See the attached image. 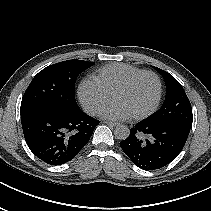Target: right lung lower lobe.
Segmentation results:
<instances>
[{"instance_id":"obj_1","label":"right lung lower lobe","mask_w":211,"mask_h":211,"mask_svg":"<svg viewBox=\"0 0 211 211\" xmlns=\"http://www.w3.org/2000/svg\"><path fill=\"white\" fill-rule=\"evenodd\" d=\"M21 123L32 153L47 164L61 165L81 151L99 121L81 109H49L21 114Z\"/></svg>"}]
</instances>
